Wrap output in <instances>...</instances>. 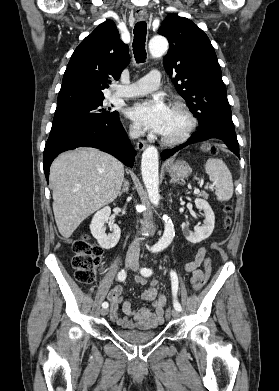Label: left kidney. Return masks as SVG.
<instances>
[{
    "mask_svg": "<svg viewBox=\"0 0 279 391\" xmlns=\"http://www.w3.org/2000/svg\"><path fill=\"white\" fill-rule=\"evenodd\" d=\"M195 205L198 209L204 212V225L197 227L195 231L192 232L187 228L185 223L182 224L184 236L189 242L193 244L199 243L208 238L213 232L215 226L214 212L208 202L204 199L197 198L195 199Z\"/></svg>",
    "mask_w": 279,
    "mask_h": 391,
    "instance_id": "1",
    "label": "left kidney"
}]
</instances>
